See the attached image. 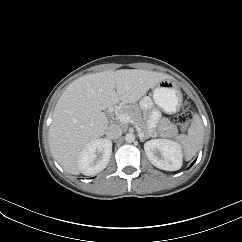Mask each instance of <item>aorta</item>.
<instances>
[{
    "mask_svg": "<svg viewBox=\"0 0 242 242\" xmlns=\"http://www.w3.org/2000/svg\"><path fill=\"white\" fill-rule=\"evenodd\" d=\"M134 140H135V136H134V134H132V133H127V134L125 135V141H126L127 143H132V142H134Z\"/></svg>",
    "mask_w": 242,
    "mask_h": 242,
    "instance_id": "762f6f07",
    "label": "aorta"
}]
</instances>
